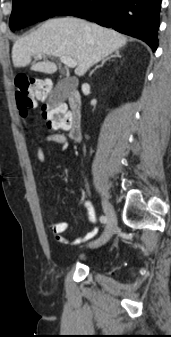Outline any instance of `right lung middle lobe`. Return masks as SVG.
Segmentation results:
<instances>
[{
    "label": "right lung middle lobe",
    "mask_w": 171,
    "mask_h": 337,
    "mask_svg": "<svg viewBox=\"0 0 171 337\" xmlns=\"http://www.w3.org/2000/svg\"><path fill=\"white\" fill-rule=\"evenodd\" d=\"M75 0H13L9 26L12 31L55 16Z\"/></svg>",
    "instance_id": "dd1d6c3e"
}]
</instances>
